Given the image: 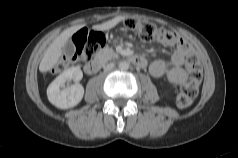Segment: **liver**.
<instances>
[{
  "label": "liver",
  "mask_w": 238,
  "mask_h": 158,
  "mask_svg": "<svg viewBox=\"0 0 238 158\" xmlns=\"http://www.w3.org/2000/svg\"><path fill=\"white\" fill-rule=\"evenodd\" d=\"M122 18H115L103 24L97 25L94 28L100 31L109 30L115 27ZM84 25H77L64 30L47 48L45 54L40 62L39 69L42 72H47L59 60L62 55V48L68 42L69 38L78 30L83 28Z\"/></svg>",
  "instance_id": "obj_1"
}]
</instances>
